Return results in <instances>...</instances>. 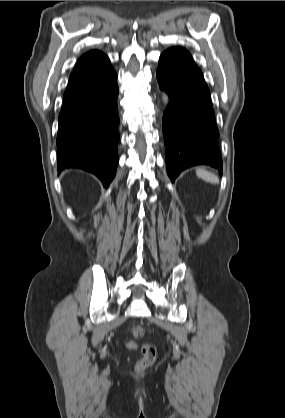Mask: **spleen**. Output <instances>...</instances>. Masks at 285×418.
<instances>
[{
  "label": "spleen",
  "instance_id": "1",
  "mask_svg": "<svg viewBox=\"0 0 285 418\" xmlns=\"http://www.w3.org/2000/svg\"><path fill=\"white\" fill-rule=\"evenodd\" d=\"M196 175L199 178L203 179L204 181H206L208 183H211V184H218L219 183V179L215 174H213V173H211L207 170H204L202 168L196 169Z\"/></svg>",
  "mask_w": 285,
  "mask_h": 418
}]
</instances>
